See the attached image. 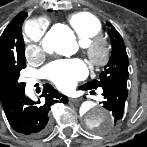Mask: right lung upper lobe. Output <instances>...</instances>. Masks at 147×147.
I'll return each mask as SVG.
<instances>
[{"mask_svg":"<svg viewBox=\"0 0 147 147\" xmlns=\"http://www.w3.org/2000/svg\"><path fill=\"white\" fill-rule=\"evenodd\" d=\"M19 13L6 27L0 37V75L4 72L11 59L17 55V41L20 33Z\"/></svg>","mask_w":147,"mask_h":147,"instance_id":"right-lung-upper-lobe-1","label":"right lung upper lobe"}]
</instances>
